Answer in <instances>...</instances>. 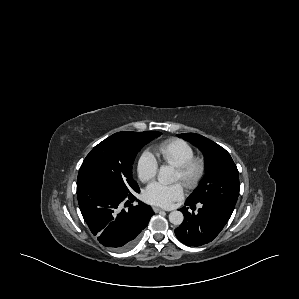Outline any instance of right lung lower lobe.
<instances>
[{
  "instance_id": "1",
  "label": "right lung lower lobe",
  "mask_w": 299,
  "mask_h": 299,
  "mask_svg": "<svg viewBox=\"0 0 299 299\" xmlns=\"http://www.w3.org/2000/svg\"><path fill=\"white\" fill-rule=\"evenodd\" d=\"M140 192V189L135 191ZM134 192H124L102 180L85 179L77 183L82 216L92 234L105 247L129 249L154 215L151 207L136 200ZM129 206L122 209V206Z\"/></svg>"
}]
</instances>
